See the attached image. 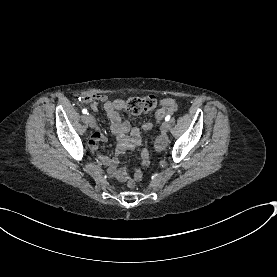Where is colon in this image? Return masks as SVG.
<instances>
[{"mask_svg":"<svg viewBox=\"0 0 277 277\" xmlns=\"http://www.w3.org/2000/svg\"><path fill=\"white\" fill-rule=\"evenodd\" d=\"M156 107V99L153 96L131 97L125 102V109L133 114L141 112H149ZM161 114H157V119L160 120ZM143 174L140 170H135L134 175L128 181V187L133 188L137 182H140Z\"/></svg>","mask_w":277,"mask_h":277,"instance_id":"1","label":"colon"}]
</instances>
